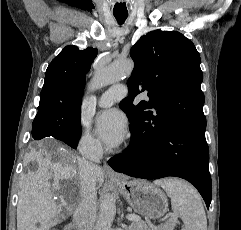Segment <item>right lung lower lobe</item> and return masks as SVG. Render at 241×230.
<instances>
[{
	"instance_id": "98d812e1",
	"label": "right lung lower lobe",
	"mask_w": 241,
	"mask_h": 230,
	"mask_svg": "<svg viewBox=\"0 0 241 230\" xmlns=\"http://www.w3.org/2000/svg\"><path fill=\"white\" fill-rule=\"evenodd\" d=\"M71 144V143H70ZM77 145H78V143L77 144H71V147L72 148H77Z\"/></svg>"
}]
</instances>
